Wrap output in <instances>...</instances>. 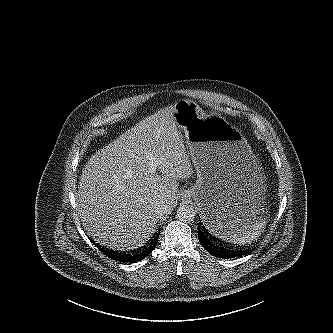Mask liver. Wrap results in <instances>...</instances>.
I'll return each mask as SVG.
<instances>
[{"label":"liver","instance_id":"6515ba94","mask_svg":"<svg viewBox=\"0 0 333 333\" xmlns=\"http://www.w3.org/2000/svg\"><path fill=\"white\" fill-rule=\"evenodd\" d=\"M173 110L169 106L143 119L85 165L77 212L84 229L101 244L142 246L159 218L176 206L178 180L190 178L193 170ZM159 204L168 212L158 215Z\"/></svg>","mask_w":333,"mask_h":333}]
</instances>
